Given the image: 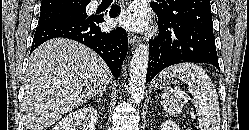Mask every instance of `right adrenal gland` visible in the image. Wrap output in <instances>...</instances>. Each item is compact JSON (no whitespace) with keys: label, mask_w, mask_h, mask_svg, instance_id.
<instances>
[{"label":"right adrenal gland","mask_w":249,"mask_h":130,"mask_svg":"<svg viewBox=\"0 0 249 130\" xmlns=\"http://www.w3.org/2000/svg\"><path fill=\"white\" fill-rule=\"evenodd\" d=\"M105 91H106V89H103V90L99 93V95L95 97V99H97V101H101V100H102L101 98L103 97V94H104Z\"/></svg>","instance_id":"obj_1"}]
</instances>
